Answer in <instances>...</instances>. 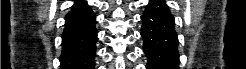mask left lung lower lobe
<instances>
[{"instance_id":"1","label":"left lung lower lobe","mask_w":246,"mask_h":69,"mask_svg":"<svg viewBox=\"0 0 246 69\" xmlns=\"http://www.w3.org/2000/svg\"><path fill=\"white\" fill-rule=\"evenodd\" d=\"M141 19L147 69H178L175 21L166 3L162 0H150Z\"/></svg>"}]
</instances>
